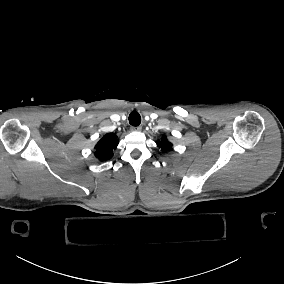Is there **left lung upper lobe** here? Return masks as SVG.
Masks as SVG:
<instances>
[{"instance_id": "5c2ea615", "label": "left lung upper lobe", "mask_w": 284, "mask_h": 284, "mask_svg": "<svg viewBox=\"0 0 284 284\" xmlns=\"http://www.w3.org/2000/svg\"><path fill=\"white\" fill-rule=\"evenodd\" d=\"M157 146L161 148L163 152L172 150V144L167 140L166 136H163L161 140L157 142Z\"/></svg>"}]
</instances>
